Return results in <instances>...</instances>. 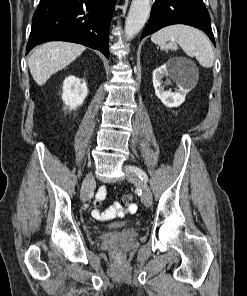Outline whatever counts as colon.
<instances>
[{
    "label": "colon",
    "mask_w": 247,
    "mask_h": 296,
    "mask_svg": "<svg viewBox=\"0 0 247 296\" xmlns=\"http://www.w3.org/2000/svg\"><path fill=\"white\" fill-rule=\"evenodd\" d=\"M132 201H133V196L131 194L124 195L121 198L120 202L117 204V206L115 208H113L112 211L110 213H108L106 216L107 217H112V216L118 215L119 214V208L124 207V206H130ZM131 209L133 211L136 210V208H134L133 206H131Z\"/></svg>",
    "instance_id": "1"
}]
</instances>
